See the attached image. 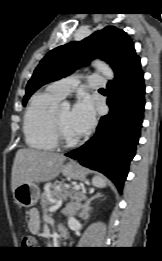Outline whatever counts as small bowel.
Segmentation results:
<instances>
[{
    "label": "small bowel",
    "instance_id": "c3829d8e",
    "mask_svg": "<svg viewBox=\"0 0 162 261\" xmlns=\"http://www.w3.org/2000/svg\"><path fill=\"white\" fill-rule=\"evenodd\" d=\"M29 228L34 233H38L41 229L40 215L36 209L29 212Z\"/></svg>",
    "mask_w": 162,
    "mask_h": 261
}]
</instances>
